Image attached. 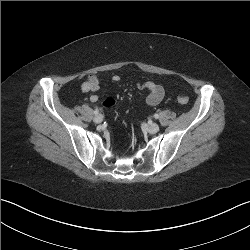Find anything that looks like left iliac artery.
<instances>
[{"mask_svg":"<svg viewBox=\"0 0 250 250\" xmlns=\"http://www.w3.org/2000/svg\"><path fill=\"white\" fill-rule=\"evenodd\" d=\"M154 118L158 119L159 115L158 114H154Z\"/></svg>","mask_w":250,"mask_h":250,"instance_id":"left-iliac-artery-1","label":"left iliac artery"}]
</instances>
